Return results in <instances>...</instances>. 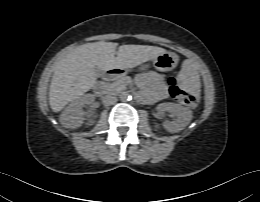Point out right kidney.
Instances as JSON below:
<instances>
[{
	"mask_svg": "<svg viewBox=\"0 0 260 202\" xmlns=\"http://www.w3.org/2000/svg\"><path fill=\"white\" fill-rule=\"evenodd\" d=\"M94 97L91 94L83 95L73 101L60 115V122L65 128L76 129L84 122L85 112L83 107L93 103ZM94 121L89 120V125Z\"/></svg>",
	"mask_w": 260,
	"mask_h": 202,
	"instance_id": "ca27d5eb",
	"label": "right kidney"
}]
</instances>
